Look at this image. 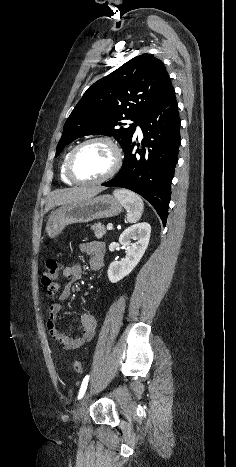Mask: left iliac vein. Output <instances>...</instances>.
Wrapping results in <instances>:
<instances>
[{"label":"left iliac vein","mask_w":236,"mask_h":467,"mask_svg":"<svg viewBox=\"0 0 236 467\" xmlns=\"http://www.w3.org/2000/svg\"><path fill=\"white\" fill-rule=\"evenodd\" d=\"M90 398H91V390H88L77 405L75 415H74V419L76 422L81 421L85 413V410L87 408L88 402L90 401Z\"/></svg>","instance_id":"left-iliac-vein-1"}]
</instances>
